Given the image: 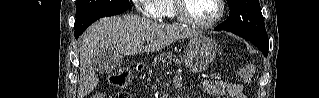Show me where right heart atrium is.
Returning <instances> with one entry per match:
<instances>
[{"label": "right heart atrium", "mask_w": 319, "mask_h": 98, "mask_svg": "<svg viewBox=\"0 0 319 98\" xmlns=\"http://www.w3.org/2000/svg\"><path fill=\"white\" fill-rule=\"evenodd\" d=\"M153 0H140V1H134L140 11L145 14L147 17L155 19V18H160L159 14L151 7H149V2Z\"/></svg>", "instance_id": "obj_1"}]
</instances>
